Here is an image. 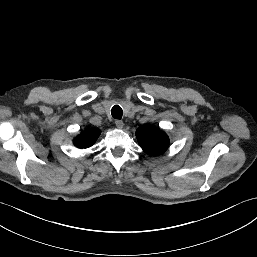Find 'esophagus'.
<instances>
[{
    "label": "esophagus",
    "mask_w": 257,
    "mask_h": 257,
    "mask_svg": "<svg viewBox=\"0 0 257 257\" xmlns=\"http://www.w3.org/2000/svg\"><path fill=\"white\" fill-rule=\"evenodd\" d=\"M115 125H116L117 128L122 129L123 126H124V123H123L122 120H116Z\"/></svg>",
    "instance_id": "obj_1"
}]
</instances>
